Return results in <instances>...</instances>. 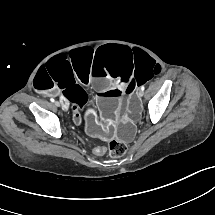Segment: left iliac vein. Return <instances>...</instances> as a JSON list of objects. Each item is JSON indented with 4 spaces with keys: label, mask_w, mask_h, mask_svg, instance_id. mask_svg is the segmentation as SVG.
I'll return each mask as SVG.
<instances>
[{
    "label": "left iliac vein",
    "mask_w": 215,
    "mask_h": 215,
    "mask_svg": "<svg viewBox=\"0 0 215 215\" xmlns=\"http://www.w3.org/2000/svg\"><path fill=\"white\" fill-rule=\"evenodd\" d=\"M144 95V91L142 89L138 92V97L141 98Z\"/></svg>",
    "instance_id": "left-iliac-vein-1"
}]
</instances>
